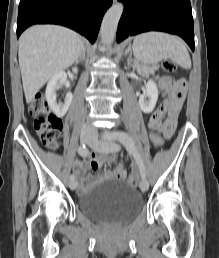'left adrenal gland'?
Returning <instances> with one entry per match:
<instances>
[{"instance_id": "left-adrenal-gland-1", "label": "left adrenal gland", "mask_w": 219, "mask_h": 258, "mask_svg": "<svg viewBox=\"0 0 219 258\" xmlns=\"http://www.w3.org/2000/svg\"><path fill=\"white\" fill-rule=\"evenodd\" d=\"M125 55H128V58H127V64L128 66L131 65V62H132V51H131V45L128 46V48L126 49L125 51Z\"/></svg>"}]
</instances>
